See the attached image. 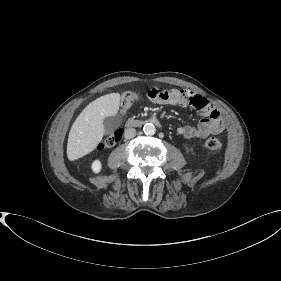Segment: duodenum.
<instances>
[{"instance_id": "duodenum-1", "label": "duodenum", "mask_w": 281, "mask_h": 281, "mask_svg": "<svg viewBox=\"0 0 281 281\" xmlns=\"http://www.w3.org/2000/svg\"><path fill=\"white\" fill-rule=\"evenodd\" d=\"M147 122L153 123V124H159V120L157 116H152L149 119L141 120V119H129L126 122V128H135L140 127L146 124Z\"/></svg>"}]
</instances>
